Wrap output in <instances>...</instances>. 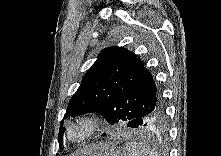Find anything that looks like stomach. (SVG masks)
I'll use <instances>...</instances> for the list:
<instances>
[{
	"instance_id": "stomach-1",
	"label": "stomach",
	"mask_w": 221,
	"mask_h": 156,
	"mask_svg": "<svg viewBox=\"0 0 221 156\" xmlns=\"http://www.w3.org/2000/svg\"><path fill=\"white\" fill-rule=\"evenodd\" d=\"M92 156H126V152L118 147L105 146L104 148L97 150Z\"/></svg>"
}]
</instances>
